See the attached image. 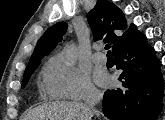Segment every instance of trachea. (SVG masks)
<instances>
[{
  "label": "trachea",
  "instance_id": "3493384b",
  "mask_svg": "<svg viewBox=\"0 0 165 120\" xmlns=\"http://www.w3.org/2000/svg\"><path fill=\"white\" fill-rule=\"evenodd\" d=\"M105 49L108 51L107 54H111V51L109 50L110 49V44H106Z\"/></svg>",
  "mask_w": 165,
  "mask_h": 120
}]
</instances>
